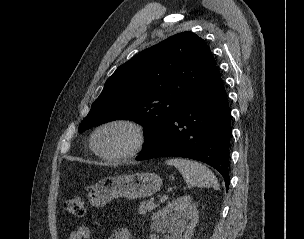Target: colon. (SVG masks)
Instances as JSON below:
<instances>
[{
  "mask_svg": "<svg viewBox=\"0 0 304 239\" xmlns=\"http://www.w3.org/2000/svg\"><path fill=\"white\" fill-rule=\"evenodd\" d=\"M64 209L73 216H83L85 211L84 198L81 196H74L67 199L64 203Z\"/></svg>",
  "mask_w": 304,
  "mask_h": 239,
  "instance_id": "1",
  "label": "colon"
}]
</instances>
